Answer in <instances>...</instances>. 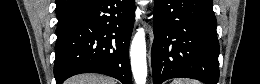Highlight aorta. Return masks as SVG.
Here are the masks:
<instances>
[{"label":"aorta","instance_id":"obj_1","mask_svg":"<svg viewBox=\"0 0 260 84\" xmlns=\"http://www.w3.org/2000/svg\"><path fill=\"white\" fill-rule=\"evenodd\" d=\"M131 69L136 84H145L147 78L146 40L143 28L135 34L130 48Z\"/></svg>","mask_w":260,"mask_h":84}]
</instances>
